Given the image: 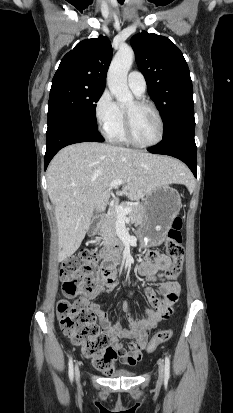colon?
I'll return each instance as SVG.
<instances>
[{
    "instance_id": "1",
    "label": "colon",
    "mask_w": 233,
    "mask_h": 413,
    "mask_svg": "<svg viewBox=\"0 0 233 413\" xmlns=\"http://www.w3.org/2000/svg\"><path fill=\"white\" fill-rule=\"evenodd\" d=\"M183 220L176 217L167 234L166 253L172 264L163 274V279L174 280L181 272L184 249L182 246ZM114 274L111 261H101L98 254L89 249L82 250L79 255L63 262L60 279L63 292L68 297H83L69 302L62 300L57 306V318L66 337L82 349L83 355L90 359L93 366L103 372L110 373L114 369L116 352L111 346L110 338L101 333L96 323L95 314L86 303L99 286L102 279ZM173 335L171 329L159 330L147 345V351L153 352L160 344L168 341Z\"/></svg>"
}]
</instances>
